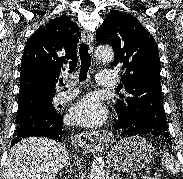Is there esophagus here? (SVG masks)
<instances>
[{"instance_id":"1","label":"esophagus","mask_w":183,"mask_h":179,"mask_svg":"<svg viewBox=\"0 0 183 179\" xmlns=\"http://www.w3.org/2000/svg\"><path fill=\"white\" fill-rule=\"evenodd\" d=\"M82 40L89 45L90 52L93 54V35L89 31H83ZM112 133L107 131L81 132L77 137L79 146L90 152H97L107 147L113 142Z\"/></svg>"}]
</instances>
